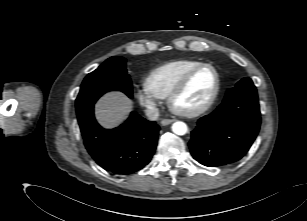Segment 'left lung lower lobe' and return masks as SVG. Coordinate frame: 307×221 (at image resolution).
I'll return each instance as SVG.
<instances>
[{
	"mask_svg": "<svg viewBox=\"0 0 307 221\" xmlns=\"http://www.w3.org/2000/svg\"><path fill=\"white\" fill-rule=\"evenodd\" d=\"M261 118L257 93L232 95L200 118L189 142L195 160L208 167L240 160L254 142Z\"/></svg>",
	"mask_w": 307,
	"mask_h": 221,
	"instance_id": "0a47b994",
	"label": "left lung lower lobe"
}]
</instances>
